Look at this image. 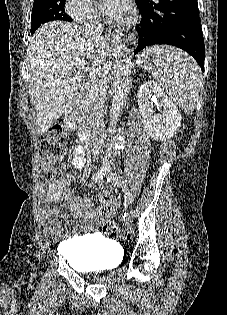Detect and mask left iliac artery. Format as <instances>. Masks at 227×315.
<instances>
[{"label":"left iliac artery","instance_id":"44dca946","mask_svg":"<svg viewBox=\"0 0 227 315\" xmlns=\"http://www.w3.org/2000/svg\"><path fill=\"white\" fill-rule=\"evenodd\" d=\"M106 179L107 182L113 183L115 186L122 187V191L124 193V199L126 204L130 205L134 201V197L132 193H130L126 187H127V180L122 179L121 181L112 173L111 170L106 171Z\"/></svg>","mask_w":227,"mask_h":315}]
</instances>
